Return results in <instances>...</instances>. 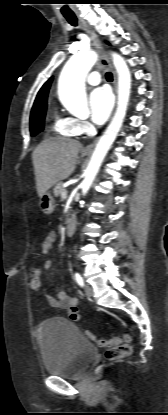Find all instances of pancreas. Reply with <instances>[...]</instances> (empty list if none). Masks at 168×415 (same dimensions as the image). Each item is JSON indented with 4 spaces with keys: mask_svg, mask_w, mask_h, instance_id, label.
Here are the masks:
<instances>
[{
    "mask_svg": "<svg viewBox=\"0 0 168 415\" xmlns=\"http://www.w3.org/2000/svg\"><path fill=\"white\" fill-rule=\"evenodd\" d=\"M65 191V188L63 187V183L59 182L56 184L55 188L53 189V194L58 197L61 196V193Z\"/></svg>",
    "mask_w": 168,
    "mask_h": 415,
    "instance_id": "pancreas-1",
    "label": "pancreas"
}]
</instances>
